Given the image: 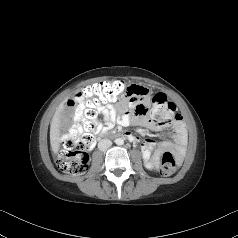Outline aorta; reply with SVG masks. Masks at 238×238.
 <instances>
[{
	"label": "aorta",
	"instance_id": "obj_1",
	"mask_svg": "<svg viewBox=\"0 0 238 238\" xmlns=\"http://www.w3.org/2000/svg\"><path fill=\"white\" fill-rule=\"evenodd\" d=\"M115 143H116L117 145H122V144L124 143V140H123L122 138H117V139L115 140Z\"/></svg>",
	"mask_w": 238,
	"mask_h": 238
}]
</instances>
